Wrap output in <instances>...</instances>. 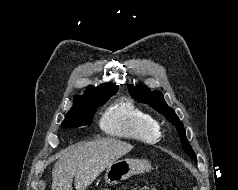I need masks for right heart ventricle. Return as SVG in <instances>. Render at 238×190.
Masks as SVG:
<instances>
[{
    "label": "right heart ventricle",
    "instance_id": "right-heart-ventricle-1",
    "mask_svg": "<svg viewBox=\"0 0 238 190\" xmlns=\"http://www.w3.org/2000/svg\"><path fill=\"white\" fill-rule=\"evenodd\" d=\"M100 128L116 137H127L147 143L159 139L158 125L153 116L130 99H121L102 114Z\"/></svg>",
    "mask_w": 238,
    "mask_h": 190
}]
</instances>
